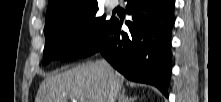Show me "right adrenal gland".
Instances as JSON below:
<instances>
[{
    "label": "right adrenal gland",
    "instance_id": "2a0ac1e0",
    "mask_svg": "<svg viewBox=\"0 0 221 102\" xmlns=\"http://www.w3.org/2000/svg\"><path fill=\"white\" fill-rule=\"evenodd\" d=\"M137 98V96H127L125 90H123L122 93L119 95V102H134Z\"/></svg>",
    "mask_w": 221,
    "mask_h": 102
}]
</instances>
